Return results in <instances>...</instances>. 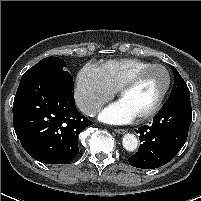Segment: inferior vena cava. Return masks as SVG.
<instances>
[{"instance_id":"obj_1","label":"inferior vena cava","mask_w":201,"mask_h":201,"mask_svg":"<svg viewBox=\"0 0 201 201\" xmlns=\"http://www.w3.org/2000/svg\"><path fill=\"white\" fill-rule=\"evenodd\" d=\"M79 109L86 115L92 116L101 109V105L97 103L79 102Z\"/></svg>"}]
</instances>
